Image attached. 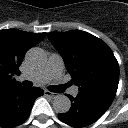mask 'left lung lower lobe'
<instances>
[{"label":"left lung lower lobe","instance_id":"left-lung-lower-lobe-1","mask_svg":"<svg viewBox=\"0 0 128 128\" xmlns=\"http://www.w3.org/2000/svg\"><path fill=\"white\" fill-rule=\"evenodd\" d=\"M71 99V108L67 113L58 114L61 121L73 126L84 127L98 120L111 105L115 94L102 90L79 91Z\"/></svg>","mask_w":128,"mask_h":128}]
</instances>
